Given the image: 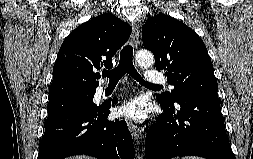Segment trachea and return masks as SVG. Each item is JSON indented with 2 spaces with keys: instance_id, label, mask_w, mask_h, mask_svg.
<instances>
[{
  "instance_id": "trachea-1",
  "label": "trachea",
  "mask_w": 253,
  "mask_h": 159,
  "mask_svg": "<svg viewBox=\"0 0 253 159\" xmlns=\"http://www.w3.org/2000/svg\"><path fill=\"white\" fill-rule=\"evenodd\" d=\"M126 73L133 79L138 81L141 85L148 88H159L160 86H153L148 84L137 72L133 65V48L126 45L120 52V61L116 68L113 70H104L102 75L109 78V82H118Z\"/></svg>"
}]
</instances>
